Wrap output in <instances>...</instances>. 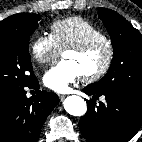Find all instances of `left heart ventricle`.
Wrapping results in <instances>:
<instances>
[{
    "mask_svg": "<svg viewBox=\"0 0 142 142\" xmlns=\"http://www.w3.org/2000/svg\"><path fill=\"white\" fill-rule=\"evenodd\" d=\"M106 55L105 46L99 45L86 53L67 51L63 54V58L72 61L83 76L99 70L105 62Z\"/></svg>",
    "mask_w": 142,
    "mask_h": 142,
    "instance_id": "1",
    "label": "left heart ventricle"
}]
</instances>
